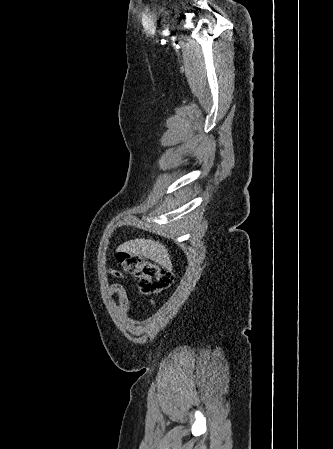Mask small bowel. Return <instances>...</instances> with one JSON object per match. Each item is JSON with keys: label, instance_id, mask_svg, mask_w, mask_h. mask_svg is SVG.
Segmentation results:
<instances>
[{"label": "small bowel", "instance_id": "1", "mask_svg": "<svg viewBox=\"0 0 333 449\" xmlns=\"http://www.w3.org/2000/svg\"><path fill=\"white\" fill-rule=\"evenodd\" d=\"M108 273L115 278L126 280V276L117 269L109 268ZM107 293L110 297L117 296V309L121 315H126L129 309V299L125 287L118 283H112L109 285Z\"/></svg>", "mask_w": 333, "mask_h": 449}]
</instances>
